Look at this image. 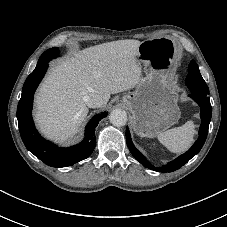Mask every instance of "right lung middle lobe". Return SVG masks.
<instances>
[{"label":"right lung middle lobe","mask_w":227,"mask_h":227,"mask_svg":"<svg viewBox=\"0 0 227 227\" xmlns=\"http://www.w3.org/2000/svg\"><path fill=\"white\" fill-rule=\"evenodd\" d=\"M58 54H59L58 48H50L46 50L39 58L37 65L41 61H50L51 59L56 58Z\"/></svg>","instance_id":"dd1d6c3e"}]
</instances>
